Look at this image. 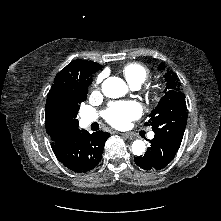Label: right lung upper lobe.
<instances>
[{
    "label": "right lung upper lobe",
    "mask_w": 221,
    "mask_h": 221,
    "mask_svg": "<svg viewBox=\"0 0 221 221\" xmlns=\"http://www.w3.org/2000/svg\"><path fill=\"white\" fill-rule=\"evenodd\" d=\"M101 68L102 66L95 62L74 60L56 75L45 106V126L51 138L53 150L68 144L79 129L78 126L58 127L53 125L48 119V113L54 107L67 102L73 95L88 92V86L92 83V74Z\"/></svg>",
    "instance_id": "cb5924a9"
}]
</instances>
